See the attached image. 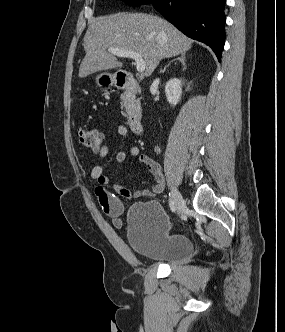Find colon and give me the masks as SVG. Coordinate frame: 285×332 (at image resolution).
Wrapping results in <instances>:
<instances>
[{
    "instance_id": "5ec220e1",
    "label": "colon",
    "mask_w": 285,
    "mask_h": 332,
    "mask_svg": "<svg viewBox=\"0 0 285 332\" xmlns=\"http://www.w3.org/2000/svg\"><path fill=\"white\" fill-rule=\"evenodd\" d=\"M77 137L83 146L94 151L99 150L103 142V134L92 128H80Z\"/></svg>"
}]
</instances>
